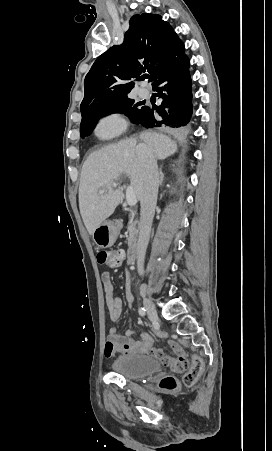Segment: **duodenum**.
<instances>
[{
	"mask_svg": "<svg viewBox=\"0 0 272 451\" xmlns=\"http://www.w3.org/2000/svg\"><path fill=\"white\" fill-rule=\"evenodd\" d=\"M137 254L138 250L136 246L132 245L128 248L127 256L129 260L134 261L137 258Z\"/></svg>",
	"mask_w": 272,
	"mask_h": 451,
	"instance_id": "1",
	"label": "duodenum"
}]
</instances>
